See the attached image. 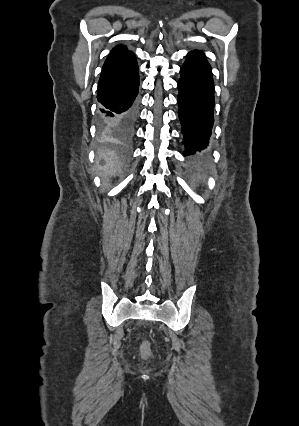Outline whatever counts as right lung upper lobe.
<instances>
[{
  "label": "right lung upper lobe",
  "mask_w": 299,
  "mask_h": 426,
  "mask_svg": "<svg viewBox=\"0 0 299 426\" xmlns=\"http://www.w3.org/2000/svg\"><path fill=\"white\" fill-rule=\"evenodd\" d=\"M128 53H131V51H128L127 48H126V46L118 45V46H115L112 49V51L108 55V58L116 57V56H120V55H124V54H128Z\"/></svg>",
  "instance_id": "cb5924a9"
}]
</instances>
